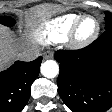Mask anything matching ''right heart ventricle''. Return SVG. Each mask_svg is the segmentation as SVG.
Here are the masks:
<instances>
[{"mask_svg":"<svg viewBox=\"0 0 112 112\" xmlns=\"http://www.w3.org/2000/svg\"><path fill=\"white\" fill-rule=\"evenodd\" d=\"M81 16L78 13H67L47 21L36 31V39L46 45L62 42Z\"/></svg>","mask_w":112,"mask_h":112,"instance_id":"1","label":"right heart ventricle"}]
</instances>
